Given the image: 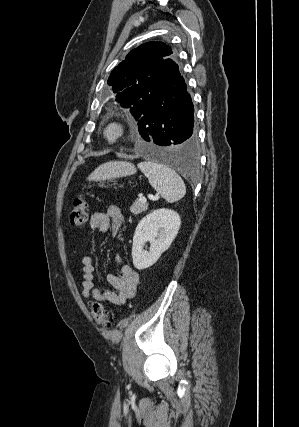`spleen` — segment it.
I'll use <instances>...</instances> for the list:
<instances>
[{"label":"spleen","mask_w":299,"mask_h":427,"mask_svg":"<svg viewBox=\"0 0 299 427\" xmlns=\"http://www.w3.org/2000/svg\"><path fill=\"white\" fill-rule=\"evenodd\" d=\"M138 168L166 202H175L186 194L184 181L168 166L153 161H145L139 163Z\"/></svg>","instance_id":"obj_1"}]
</instances>
